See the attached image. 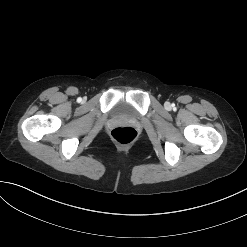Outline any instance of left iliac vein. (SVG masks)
<instances>
[{
    "label": "left iliac vein",
    "mask_w": 247,
    "mask_h": 247,
    "mask_svg": "<svg viewBox=\"0 0 247 247\" xmlns=\"http://www.w3.org/2000/svg\"><path fill=\"white\" fill-rule=\"evenodd\" d=\"M170 106V104L169 103H166V107H169Z\"/></svg>",
    "instance_id": "obj_1"
}]
</instances>
